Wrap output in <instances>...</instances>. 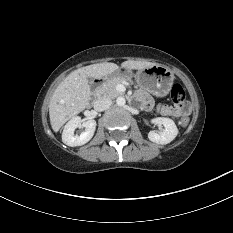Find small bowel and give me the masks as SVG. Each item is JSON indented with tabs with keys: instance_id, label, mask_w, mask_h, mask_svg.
<instances>
[{
	"instance_id": "obj_1",
	"label": "small bowel",
	"mask_w": 233,
	"mask_h": 233,
	"mask_svg": "<svg viewBox=\"0 0 233 233\" xmlns=\"http://www.w3.org/2000/svg\"><path fill=\"white\" fill-rule=\"evenodd\" d=\"M137 98L145 108L151 107V100L145 93H138ZM189 110L190 108L188 104H185L184 106L160 105L158 107V111L160 114L174 117L185 116L189 113Z\"/></svg>"
}]
</instances>
